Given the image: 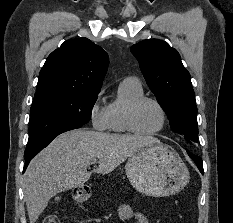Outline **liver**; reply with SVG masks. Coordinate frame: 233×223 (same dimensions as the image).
Returning a JSON list of instances; mask_svg holds the SVG:
<instances>
[{
  "instance_id": "6515ba94",
  "label": "liver",
  "mask_w": 233,
  "mask_h": 223,
  "mask_svg": "<svg viewBox=\"0 0 233 223\" xmlns=\"http://www.w3.org/2000/svg\"><path fill=\"white\" fill-rule=\"evenodd\" d=\"M158 141L157 137L143 135L87 131V127L61 133L31 159L24 173L29 223L37 221L49 199L59 191L84 185L91 173H111L146 143ZM92 159H98V165L88 171Z\"/></svg>"
}]
</instances>
